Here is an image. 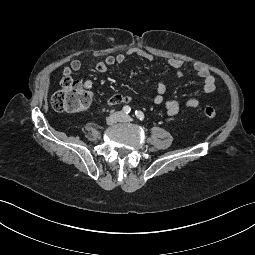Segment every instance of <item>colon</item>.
<instances>
[{
  "mask_svg": "<svg viewBox=\"0 0 255 255\" xmlns=\"http://www.w3.org/2000/svg\"><path fill=\"white\" fill-rule=\"evenodd\" d=\"M60 85L61 88L51 98L52 107L56 111L78 113L91 107L93 97L78 81L70 76H65ZM203 114L209 119H214L217 116V111L212 106H205Z\"/></svg>",
  "mask_w": 255,
  "mask_h": 255,
  "instance_id": "5ec220e1",
  "label": "colon"
}]
</instances>
